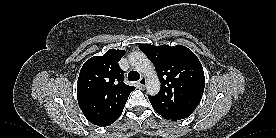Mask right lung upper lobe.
<instances>
[{"label":"right lung upper lobe","mask_w":276,"mask_h":138,"mask_svg":"<svg viewBox=\"0 0 276 138\" xmlns=\"http://www.w3.org/2000/svg\"><path fill=\"white\" fill-rule=\"evenodd\" d=\"M124 54V50L110 49L103 56L88 59L81 68L77 82L78 104L95 125L114 123L135 89L123 82L124 74L118 62Z\"/></svg>","instance_id":"cb5924a9"}]
</instances>
